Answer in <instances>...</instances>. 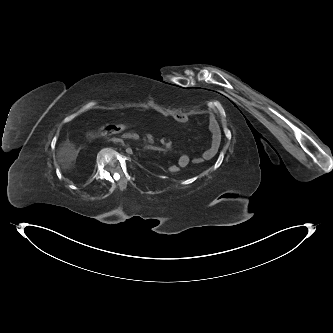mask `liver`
Here are the masks:
<instances>
[{
    "instance_id": "obj_1",
    "label": "liver",
    "mask_w": 333,
    "mask_h": 333,
    "mask_svg": "<svg viewBox=\"0 0 333 333\" xmlns=\"http://www.w3.org/2000/svg\"><path fill=\"white\" fill-rule=\"evenodd\" d=\"M79 150L75 148V145L71 143L69 140H65L61 145L57 152V159L61 168L63 170L70 169L77 158Z\"/></svg>"
}]
</instances>
